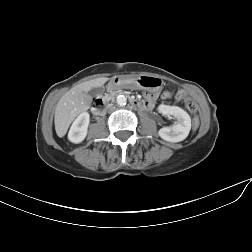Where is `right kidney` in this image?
<instances>
[{
	"instance_id": "obj_1",
	"label": "right kidney",
	"mask_w": 252,
	"mask_h": 252,
	"mask_svg": "<svg viewBox=\"0 0 252 252\" xmlns=\"http://www.w3.org/2000/svg\"><path fill=\"white\" fill-rule=\"evenodd\" d=\"M90 122V115L88 112H82L73 122L69 133L68 139L72 143H81L88 132V126Z\"/></svg>"
}]
</instances>
